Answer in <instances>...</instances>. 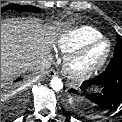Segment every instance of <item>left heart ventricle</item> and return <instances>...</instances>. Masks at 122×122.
I'll list each match as a JSON object with an SVG mask.
<instances>
[{"mask_svg":"<svg viewBox=\"0 0 122 122\" xmlns=\"http://www.w3.org/2000/svg\"><path fill=\"white\" fill-rule=\"evenodd\" d=\"M106 46L104 44L98 45L93 48L78 64V68H85L95 62L104 53Z\"/></svg>","mask_w":122,"mask_h":122,"instance_id":"left-heart-ventricle-1","label":"left heart ventricle"}]
</instances>
